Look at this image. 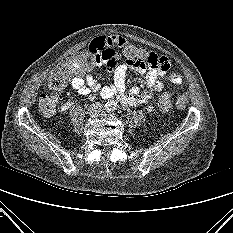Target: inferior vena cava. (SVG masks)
I'll return each mask as SVG.
<instances>
[{
	"instance_id": "602c4592",
	"label": "inferior vena cava",
	"mask_w": 233,
	"mask_h": 233,
	"mask_svg": "<svg viewBox=\"0 0 233 233\" xmlns=\"http://www.w3.org/2000/svg\"><path fill=\"white\" fill-rule=\"evenodd\" d=\"M101 107H102L101 104L97 102V103L90 106V110L92 113H97V112L101 111Z\"/></svg>"
}]
</instances>
